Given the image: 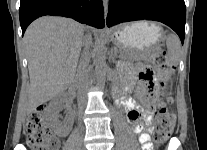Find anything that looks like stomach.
Returning <instances> with one entry per match:
<instances>
[{
	"mask_svg": "<svg viewBox=\"0 0 207 150\" xmlns=\"http://www.w3.org/2000/svg\"><path fill=\"white\" fill-rule=\"evenodd\" d=\"M160 24L149 21H137L118 28L113 34L117 48L124 56V61L136 54L146 53L162 38Z\"/></svg>",
	"mask_w": 207,
	"mask_h": 150,
	"instance_id": "stomach-1",
	"label": "stomach"
}]
</instances>
